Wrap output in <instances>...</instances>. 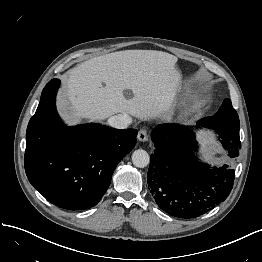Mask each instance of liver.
<instances>
[{
    "label": "liver",
    "instance_id": "6515ba94",
    "mask_svg": "<svg viewBox=\"0 0 262 262\" xmlns=\"http://www.w3.org/2000/svg\"><path fill=\"white\" fill-rule=\"evenodd\" d=\"M177 57L125 50L89 59L69 73L59 107L72 120L102 121L122 113L146 120L168 111L181 85ZM132 96L126 97L125 91Z\"/></svg>",
    "mask_w": 262,
    "mask_h": 262
}]
</instances>
